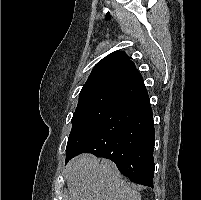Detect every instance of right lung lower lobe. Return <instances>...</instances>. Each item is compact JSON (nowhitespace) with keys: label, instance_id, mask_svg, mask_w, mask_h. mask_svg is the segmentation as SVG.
Masks as SVG:
<instances>
[{"label":"right lung lower lobe","instance_id":"1","mask_svg":"<svg viewBox=\"0 0 201 200\" xmlns=\"http://www.w3.org/2000/svg\"><path fill=\"white\" fill-rule=\"evenodd\" d=\"M155 129L147 93L113 110L75 136L66 163L80 153L112 160L132 182L153 188Z\"/></svg>","mask_w":201,"mask_h":200}]
</instances>
